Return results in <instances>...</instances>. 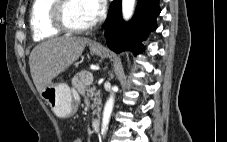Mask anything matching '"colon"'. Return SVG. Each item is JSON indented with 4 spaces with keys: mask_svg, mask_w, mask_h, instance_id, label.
I'll list each match as a JSON object with an SVG mask.
<instances>
[{
    "mask_svg": "<svg viewBox=\"0 0 227 142\" xmlns=\"http://www.w3.org/2000/svg\"><path fill=\"white\" fill-rule=\"evenodd\" d=\"M71 142H84L82 137H80L79 135H74L71 139Z\"/></svg>",
    "mask_w": 227,
    "mask_h": 142,
    "instance_id": "1",
    "label": "colon"
}]
</instances>
